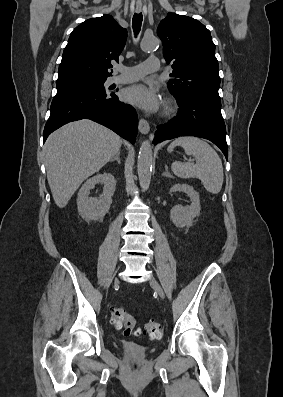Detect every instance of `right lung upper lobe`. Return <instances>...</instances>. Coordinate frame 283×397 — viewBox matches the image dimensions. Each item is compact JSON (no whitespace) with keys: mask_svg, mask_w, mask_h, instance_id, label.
<instances>
[{"mask_svg":"<svg viewBox=\"0 0 283 397\" xmlns=\"http://www.w3.org/2000/svg\"><path fill=\"white\" fill-rule=\"evenodd\" d=\"M127 39V30L110 15L92 18L70 34L59 65L58 79L106 78L111 60L118 61Z\"/></svg>","mask_w":283,"mask_h":397,"instance_id":"1","label":"right lung upper lobe"}]
</instances>
